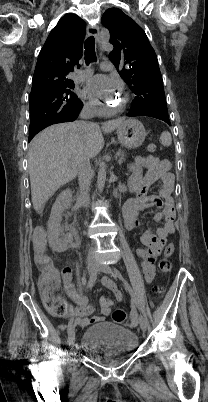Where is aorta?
Returning <instances> with one entry per match:
<instances>
[{
    "mask_svg": "<svg viewBox=\"0 0 208 402\" xmlns=\"http://www.w3.org/2000/svg\"><path fill=\"white\" fill-rule=\"evenodd\" d=\"M98 181H97V191L96 194L99 197L104 196L105 192H106V175H105V170L101 169L98 171Z\"/></svg>",
    "mask_w": 208,
    "mask_h": 402,
    "instance_id": "obj_1",
    "label": "aorta"
}]
</instances>
